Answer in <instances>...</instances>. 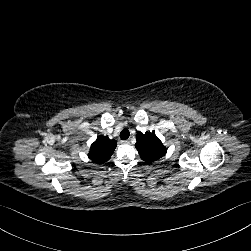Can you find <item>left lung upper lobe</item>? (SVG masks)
Listing matches in <instances>:
<instances>
[{"mask_svg": "<svg viewBox=\"0 0 251 251\" xmlns=\"http://www.w3.org/2000/svg\"><path fill=\"white\" fill-rule=\"evenodd\" d=\"M136 139V149L145 163L156 162L166 154V147L154 133H138Z\"/></svg>", "mask_w": 251, "mask_h": 251, "instance_id": "5c2ea615", "label": "left lung upper lobe"}]
</instances>
